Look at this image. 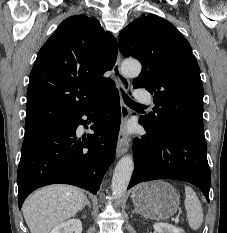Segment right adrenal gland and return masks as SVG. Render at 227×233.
<instances>
[{"label": "right adrenal gland", "instance_id": "obj_1", "mask_svg": "<svg viewBox=\"0 0 227 233\" xmlns=\"http://www.w3.org/2000/svg\"><path fill=\"white\" fill-rule=\"evenodd\" d=\"M85 206H88L89 208H91V204H90V202H89V200H88L87 197L85 199V204H84V206L82 207V209L80 211H82L85 208Z\"/></svg>", "mask_w": 227, "mask_h": 233}]
</instances>
